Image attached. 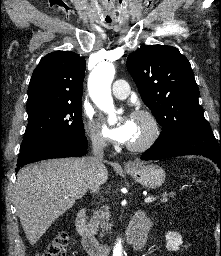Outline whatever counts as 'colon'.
Returning <instances> with one entry per match:
<instances>
[{
    "mask_svg": "<svg viewBox=\"0 0 221 256\" xmlns=\"http://www.w3.org/2000/svg\"><path fill=\"white\" fill-rule=\"evenodd\" d=\"M69 236L65 232L59 233L38 256H66Z\"/></svg>",
    "mask_w": 221,
    "mask_h": 256,
    "instance_id": "obj_1",
    "label": "colon"
}]
</instances>
